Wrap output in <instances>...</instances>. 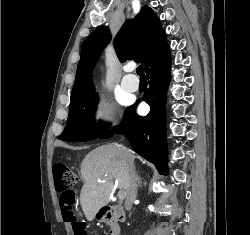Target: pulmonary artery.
Listing matches in <instances>:
<instances>
[{"label": "pulmonary artery", "instance_id": "obj_1", "mask_svg": "<svg viewBox=\"0 0 250 235\" xmlns=\"http://www.w3.org/2000/svg\"><path fill=\"white\" fill-rule=\"evenodd\" d=\"M122 87L128 92H134L139 87V80L134 79L131 75H126L121 82Z\"/></svg>", "mask_w": 250, "mask_h": 235}]
</instances>
